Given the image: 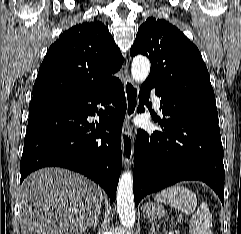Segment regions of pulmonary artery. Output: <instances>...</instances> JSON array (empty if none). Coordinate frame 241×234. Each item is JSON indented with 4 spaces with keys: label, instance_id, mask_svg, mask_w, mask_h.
Here are the masks:
<instances>
[{
    "label": "pulmonary artery",
    "instance_id": "e3ab8cb5",
    "mask_svg": "<svg viewBox=\"0 0 241 234\" xmlns=\"http://www.w3.org/2000/svg\"><path fill=\"white\" fill-rule=\"evenodd\" d=\"M152 102H153V106L156 110H160L161 104H160V98L153 94L152 95Z\"/></svg>",
    "mask_w": 241,
    "mask_h": 234
}]
</instances>
